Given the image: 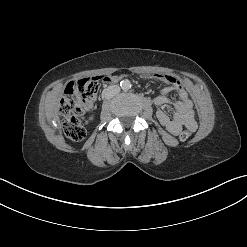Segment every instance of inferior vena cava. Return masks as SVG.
Returning a JSON list of instances; mask_svg holds the SVG:
<instances>
[{
    "label": "inferior vena cava",
    "instance_id": "602c4592",
    "mask_svg": "<svg viewBox=\"0 0 247 247\" xmlns=\"http://www.w3.org/2000/svg\"><path fill=\"white\" fill-rule=\"evenodd\" d=\"M120 92V87L118 85H111L108 86L106 89H104V97L109 99L114 97L115 95H117Z\"/></svg>",
    "mask_w": 247,
    "mask_h": 247
}]
</instances>
